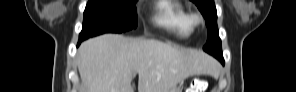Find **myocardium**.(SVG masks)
I'll list each match as a JSON object with an SVG mask.
<instances>
[{
  "mask_svg": "<svg viewBox=\"0 0 296 92\" xmlns=\"http://www.w3.org/2000/svg\"><path fill=\"white\" fill-rule=\"evenodd\" d=\"M203 22L202 16L199 13H191L190 14V23L192 27H197L201 25Z\"/></svg>",
  "mask_w": 296,
  "mask_h": 92,
  "instance_id": "1",
  "label": "myocardium"
}]
</instances>
